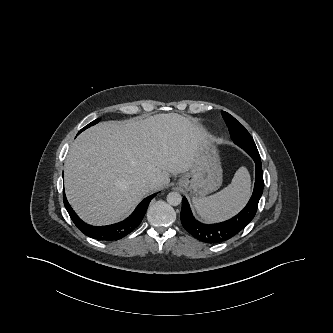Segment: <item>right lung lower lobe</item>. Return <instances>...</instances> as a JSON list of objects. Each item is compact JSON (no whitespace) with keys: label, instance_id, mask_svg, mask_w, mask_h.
Instances as JSON below:
<instances>
[{"label":"right lung lower lobe","instance_id":"obj_1","mask_svg":"<svg viewBox=\"0 0 333 333\" xmlns=\"http://www.w3.org/2000/svg\"><path fill=\"white\" fill-rule=\"evenodd\" d=\"M156 194L145 198L124 221L108 226H92L83 222L73 211L63 193V202L72 221L85 235L102 241L119 240L132 232L142 221L150 201Z\"/></svg>","mask_w":333,"mask_h":333}]
</instances>
